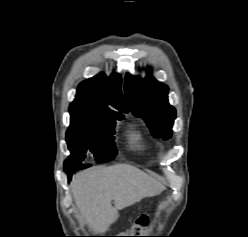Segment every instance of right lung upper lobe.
<instances>
[{
  "instance_id": "right-lung-upper-lobe-1",
  "label": "right lung upper lobe",
  "mask_w": 248,
  "mask_h": 237,
  "mask_svg": "<svg viewBox=\"0 0 248 237\" xmlns=\"http://www.w3.org/2000/svg\"><path fill=\"white\" fill-rule=\"evenodd\" d=\"M121 81L119 74L107 77L101 73L81 82L70 108L100 117L123 116L122 112L127 113L128 107L121 93Z\"/></svg>"
}]
</instances>
